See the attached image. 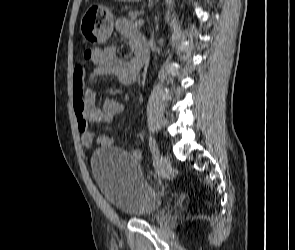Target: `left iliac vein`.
<instances>
[{
	"mask_svg": "<svg viewBox=\"0 0 295 250\" xmlns=\"http://www.w3.org/2000/svg\"><path fill=\"white\" fill-rule=\"evenodd\" d=\"M156 162L159 163V168L165 171L168 167V157L162 155L159 150L156 157Z\"/></svg>",
	"mask_w": 295,
	"mask_h": 250,
	"instance_id": "1",
	"label": "left iliac vein"
}]
</instances>
